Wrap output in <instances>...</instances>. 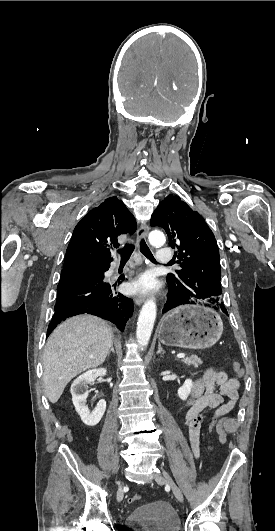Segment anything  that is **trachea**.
I'll list each match as a JSON object with an SVG mask.
<instances>
[{
    "instance_id": "1",
    "label": "trachea",
    "mask_w": 275,
    "mask_h": 531,
    "mask_svg": "<svg viewBox=\"0 0 275 531\" xmlns=\"http://www.w3.org/2000/svg\"><path fill=\"white\" fill-rule=\"evenodd\" d=\"M134 247L135 246L132 243H127L123 249L118 250V252L121 254L122 261H127L130 258ZM140 251L142 254H144V256H146V258L155 262V258L143 238L140 241ZM171 264L172 263H168L167 265L171 266Z\"/></svg>"
}]
</instances>
